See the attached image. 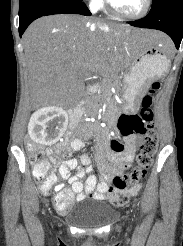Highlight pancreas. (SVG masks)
<instances>
[{
    "instance_id": "cf45deb5",
    "label": "pancreas",
    "mask_w": 183,
    "mask_h": 246,
    "mask_svg": "<svg viewBox=\"0 0 183 246\" xmlns=\"http://www.w3.org/2000/svg\"><path fill=\"white\" fill-rule=\"evenodd\" d=\"M103 88H104V85L101 86V89H103ZM97 101H98L97 97L94 96V97H92L90 104L93 107H97Z\"/></svg>"
}]
</instances>
